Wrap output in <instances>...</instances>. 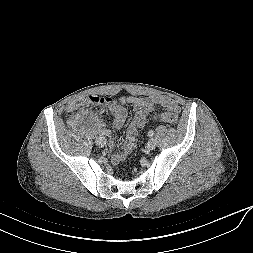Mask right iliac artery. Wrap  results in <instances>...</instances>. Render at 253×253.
Instances as JSON below:
<instances>
[{
    "mask_svg": "<svg viewBox=\"0 0 253 253\" xmlns=\"http://www.w3.org/2000/svg\"><path fill=\"white\" fill-rule=\"evenodd\" d=\"M101 134H102V135L109 136V135H111V131H110V130H107V129H104V130H101Z\"/></svg>",
    "mask_w": 253,
    "mask_h": 253,
    "instance_id": "1",
    "label": "right iliac artery"
}]
</instances>
